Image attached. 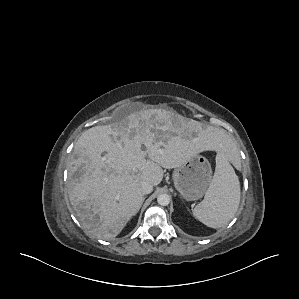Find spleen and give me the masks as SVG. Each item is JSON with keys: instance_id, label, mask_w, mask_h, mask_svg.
<instances>
[{"instance_id": "obj_1", "label": "spleen", "mask_w": 299, "mask_h": 299, "mask_svg": "<svg viewBox=\"0 0 299 299\" xmlns=\"http://www.w3.org/2000/svg\"><path fill=\"white\" fill-rule=\"evenodd\" d=\"M240 182L226 149L219 150L216 168L205 197L194 209V217L208 227L217 229L227 225L238 210Z\"/></svg>"}]
</instances>
